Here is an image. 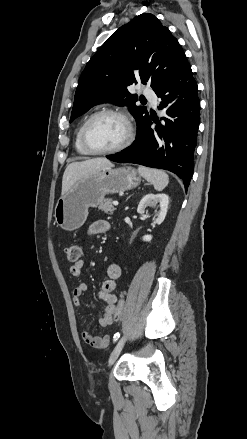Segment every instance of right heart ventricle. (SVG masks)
Segmentation results:
<instances>
[{
  "label": "right heart ventricle",
  "instance_id": "right-heart-ventricle-1",
  "mask_svg": "<svg viewBox=\"0 0 247 439\" xmlns=\"http://www.w3.org/2000/svg\"><path fill=\"white\" fill-rule=\"evenodd\" d=\"M83 124L78 128V130L75 134L74 146H75V149L77 150L78 153H80L82 155H88L89 153L83 148V146L81 144V140H80V133H81V128H82Z\"/></svg>",
  "mask_w": 247,
  "mask_h": 439
}]
</instances>
